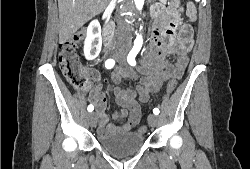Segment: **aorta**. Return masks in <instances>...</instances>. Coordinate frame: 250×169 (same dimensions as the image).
I'll return each mask as SVG.
<instances>
[{
  "instance_id": "762f6f07",
  "label": "aorta",
  "mask_w": 250,
  "mask_h": 169,
  "mask_svg": "<svg viewBox=\"0 0 250 169\" xmlns=\"http://www.w3.org/2000/svg\"><path fill=\"white\" fill-rule=\"evenodd\" d=\"M134 2L136 4V8H139V10H142L144 0H134ZM138 40H142V36H138Z\"/></svg>"
}]
</instances>
